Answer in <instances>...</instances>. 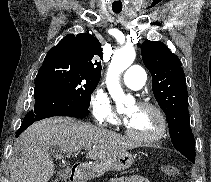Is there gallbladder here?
<instances>
[{"label":"gallbladder","mask_w":211,"mask_h":182,"mask_svg":"<svg viewBox=\"0 0 211 182\" xmlns=\"http://www.w3.org/2000/svg\"><path fill=\"white\" fill-rule=\"evenodd\" d=\"M51 156H55L56 154H60V149L57 146H53L49 150ZM60 174V172L58 173Z\"/></svg>","instance_id":"bac80fb5"}]
</instances>
